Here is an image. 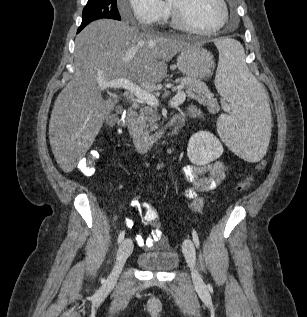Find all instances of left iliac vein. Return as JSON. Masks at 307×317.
Wrapping results in <instances>:
<instances>
[{
  "instance_id": "left-iliac-vein-1",
  "label": "left iliac vein",
  "mask_w": 307,
  "mask_h": 317,
  "mask_svg": "<svg viewBox=\"0 0 307 317\" xmlns=\"http://www.w3.org/2000/svg\"><path fill=\"white\" fill-rule=\"evenodd\" d=\"M183 253L187 260L189 267L191 268L194 284L199 289H204L205 284L196 268V252L195 246L191 239H185L183 242Z\"/></svg>"
}]
</instances>
